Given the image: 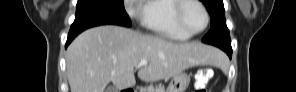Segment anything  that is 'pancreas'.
Wrapping results in <instances>:
<instances>
[{"label": "pancreas", "mask_w": 296, "mask_h": 92, "mask_svg": "<svg viewBox=\"0 0 296 92\" xmlns=\"http://www.w3.org/2000/svg\"><path fill=\"white\" fill-rule=\"evenodd\" d=\"M140 92H165L164 87L161 85L154 87L153 85H150L145 88H141Z\"/></svg>", "instance_id": "obj_1"}]
</instances>
